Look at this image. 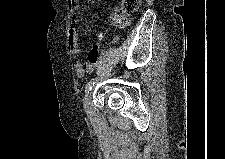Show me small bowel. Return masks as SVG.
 <instances>
[{"mask_svg":"<svg viewBox=\"0 0 225 159\" xmlns=\"http://www.w3.org/2000/svg\"><path fill=\"white\" fill-rule=\"evenodd\" d=\"M81 9L80 4L71 5V15L68 25V37H67V45L69 50L75 54L80 55L83 52V49L79 46V34L76 26V14ZM102 37V33L100 34V39ZM99 47L100 44L97 43L89 52V58L86 62L76 61L74 63V69L77 77L82 78L88 72L94 70L98 63L99 57Z\"/></svg>","mask_w":225,"mask_h":159,"instance_id":"obj_1","label":"small bowel"}]
</instances>
